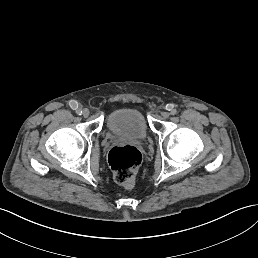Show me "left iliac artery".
Wrapping results in <instances>:
<instances>
[{
	"instance_id": "left-iliac-artery-1",
	"label": "left iliac artery",
	"mask_w": 258,
	"mask_h": 258,
	"mask_svg": "<svg viewBox=\"0 0 258 258\" xmlns=\"http://www.w3.org/2000/svg\"><path fill=\"white\" fill-rule=\"evenodd\" d=\"M177 114V110L176 109H173L172 111H171V115H176Z\"/></svg>"
}]
</instances>
